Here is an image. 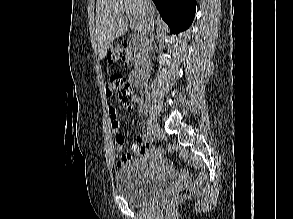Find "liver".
Here are the masks:
<instances>
[{
	"instance_id": "6515ba94",
	"label": "liver",
	"mask_w": 293,
	"mask_h": 219,
	"mask_svg": "<svg viewBox=\"0 0 293 219\" xmlns=\"http://www.w3.org/2000/svg\"><path fill=\"white\" fill-rule=\"evenodd\" d=\"M147 1L146 5L144 0H97L95 40L100 59L105 58L110 44L128 31L129 21L141 36L147 14H155L154 4Z\"/></svg>"
}]
</instances>
